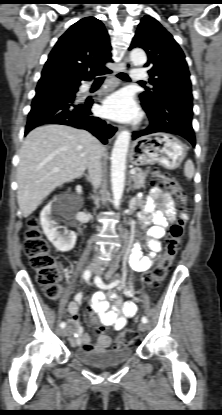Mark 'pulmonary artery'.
<instances>
[{"instance_id": "1", "label": "pulmonary artery", "mask_w": 222, "mask_h": 415, "mask_svg": "<svg viewBox=\"0 0 222 415\" xmlns=\"http://www.w3.org/2000/svg\"><path fill=\"white\" fill-rule=\"evenodd\" d=\"M147 76L148 74L143 68H134L131 72V77L134 82H143L147 79ZM87 89L88 87L86 86L85 90Z\"/></svg>"}]
</instances>
